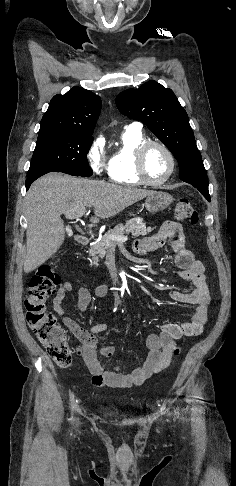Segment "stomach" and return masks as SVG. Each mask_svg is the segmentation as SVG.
<instances>
[{
  "instance_id": "0dacf381",
  "label": "stomach",
  "mask_w": 236,
  "mask_h": 486,
  "mask_svg": "<svg viewBox=\"0 0 236 486\" xmlns=\"http://www.w3.org/2000/svg\"><path fill=\"white\" fill-rule=\"evenodd\" d=\"M173 201V197L163 191H154L145 200V208L151 213H156L166 209Z\"/></svg>"
}]
</instances>
